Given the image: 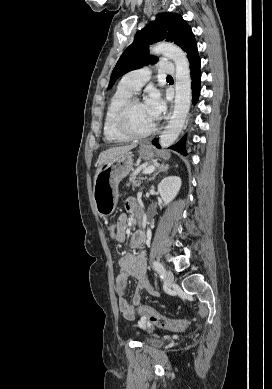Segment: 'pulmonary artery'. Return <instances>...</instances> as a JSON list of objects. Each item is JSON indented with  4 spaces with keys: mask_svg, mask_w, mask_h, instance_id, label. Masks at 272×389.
<instances>
[{
    "mask_svg": "<svg viewBox=\"0 0 272 389\" xmlns=\"http://www.w3.org/2000/svg\"><path fill=\"white\" fill-rule=\"evenodd\" d=\"M160 72L163 74L172 75L175 72L173 63L164 59L160 62ZM151 69L144 67L129 72L123 77L120 85L129 89L132 93H137L141 87L150 79Z\"/></svg>",
    "mask_w": 272,
    "mask_h": 389,
    "instance_id": "obj_1",
    "label": "pulmonary artery"
}]
</instances>
